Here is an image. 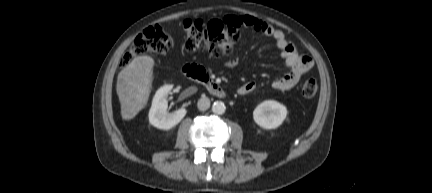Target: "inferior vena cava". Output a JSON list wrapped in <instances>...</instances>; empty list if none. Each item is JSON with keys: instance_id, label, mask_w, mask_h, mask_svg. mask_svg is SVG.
<instances>
[{"instance_id": "602c4592", "label": "inferior vena cava", "mask_w": 432, "mask_h": 193, "mask_svg": "<svg viewBox=\"0 0 432 193\" xmlns=\"http://www.w3.org/2000/svg\"><path fill=\"white\" fill-rule=\"evenodd\" d=\"M197 107L200 111H206L210 107L209 98L203 96L198 100Z\"/></svg>"}]
</instances>
